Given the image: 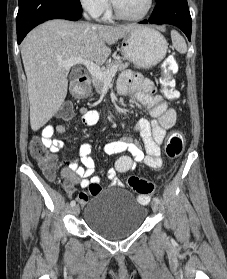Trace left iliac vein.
<instances>
[{"label": "left iliac vein", "instance_id": "left-iliac-vein-1", "mask_svg": "<svg viewBox=\"0 0 227 279\" xmlns=\"http://www.w3.org/2000/svg\"><path fill=\"white\" fill-rule=\"evenodd\" d=\"M151 207H152L153 211H155V212H157L158 209H159V205H158V203L155 202V201H152V202H151Z\"/></svg>", "mask_w": 227, "mask_h": 279}]
</instances>
